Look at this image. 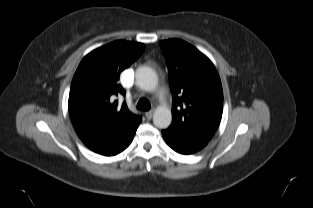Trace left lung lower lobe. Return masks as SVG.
Segmentation results:
<instances>
[{"instance_id": "1", "label": "left lung lower lobe", "mask_w": 313, "mask_h": 208, "mask_svg": "<svg viewBox=\"0 0 313 208\" xmlns=\"http://www.w3.org/2000/svg\"><path fill=\"white\" fill-rule=\"evenodd\" d=\"M162 135L167 142V144L176 152L180 154H192L199 150H201L203 147L206 146L207 143L205 142H199V141H191L184 138H181L177 136L176 134L168 131L163 130Z\"/></svg>"}]
</instances>
